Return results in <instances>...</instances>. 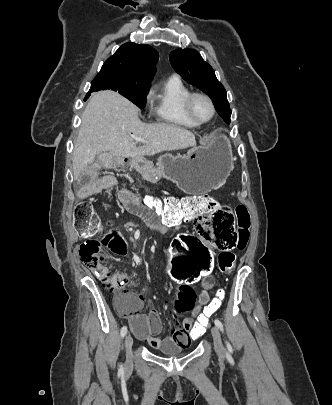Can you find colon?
<instances>
[{
    "label": "colon",
    "mask_w": 332,
    "mask_h": 405,
    "mask_svg": "<svg viewBox=\"0 0 332 405\" xmlns=\"http://www.w3.org/2000/svg\"><path fill=\"white\" fill-rule=\"evenodd\" d=\"M141 199L155 216L167 222L183 221L200 211L211 210L202 213L204 220H197L194 234H176V240L173 241L174 255H168L164 259L169 264L167 271L172 273L171 282L178 283L179 287H195L197 281H207L208 275H212V257H216V249L220 252V272L223 275L232 272L235 263L234 249H245L250 237L251 219L245 206H236L235 209L218 207V203L207 195L164 198L144 195ZM215 208L216 211H212ZM74 225L77 231L87 238L79 248L81 261L98 273L104 274L107 285L116 292L119 306L133 301V295L122 290L117 276L106 268L107 258L98 238L103 237L107 223L101 220L91 202L82 200L76 204ZM108 243L111 246L109 256H126V247H123L120 238L116 237ZM223 295L224 290L220 289L218 298L211 302V306L203 307L202 311L197 312L194 329H191L189 334L190 342L202 341L203 331L207 330L209 320L219 308Z\"/></svg>",
    "instance_id": "5ec220e1"
}]
</instances>
